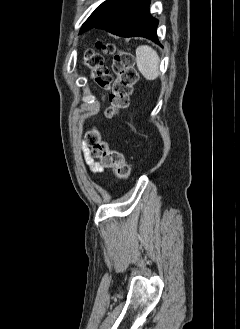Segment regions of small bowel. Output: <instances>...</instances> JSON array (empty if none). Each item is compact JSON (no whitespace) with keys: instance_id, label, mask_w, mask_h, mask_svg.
I'll use <instances>...</instances> for the list:
<instances>
[{"instance_id":"small-bowel-1","label":"small bowel","mask_w":240,"mask_h":329,"mask_svg":"<svg viewBox=\"0 0 240 329\" xmlns=\"http://www.w3.org/2000/svg\"><path fill=\"white\" fill-rule=\"evenodd\" d=\"M85 162L89 165L90 169L94 173L101 172L103 168L100 166L98 162H96L90 155L89 149L87 147H83Z\"/></svg>"}]
</instances>
